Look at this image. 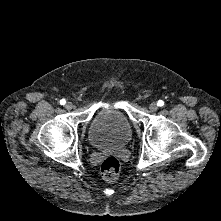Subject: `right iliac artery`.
I'll use <instances>...</instances> for the list:
<instances>
[{"instance_id": "82829eb1", "label": "right iliac artery", "mask_w": 221, "mask_h": 221, "mask_svg": "<svg viewBox=\"0 0 221 221\" xmlns=\"http://www.w3.org/2000/svg\"><path fill=\"white\" fill-rule=\"evenodd\" d=\"M66 101L64 99L60 100L61 105H65Z\"/></svg>"}]
</instances>
